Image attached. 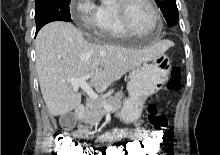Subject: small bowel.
I'll return each mask as SVG.
<instances>
[{
    "label": "small bowel",
    "instance_id": "small-bowel-1",
    "mask_svg": "<svg viewBox=\"0 0 220 155\" xmlns=\"http://www.w3.org/2000/svg\"><path fill=\"white\" fill-rule=\"evenodd\" d=\"M145 135H149V133L141 126H136L132 132L125 130H107L106 133H102L101 136H92L91 140L86 141V144H114L115 140L123 141L124 136H129L131 139H145Z\"/></svg>",
    "mask_w": 220,
    "mask_h": 155
}]
</instances>
